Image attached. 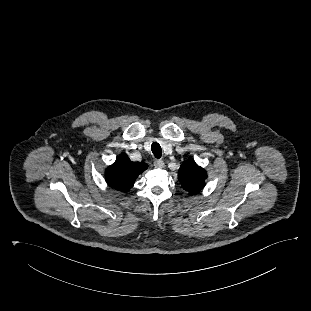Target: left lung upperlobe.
<instances>
[{"mask_svg": "<svg viewBox=\"0 0 311 311\" xmlns=\"http://www.w3.org/2000/svg\"><path fill=\"white\" fill-rule=\"evenodd\" d=\"M178 178L182 187L191 195H195L205 186L207 172L190 159L183 162L179 168Z\"/></svg>", "mask_w": 311, "mask_h": 311, "instance_id": "obj_1", "label": "left lung upper lobe"}]
</instances>
